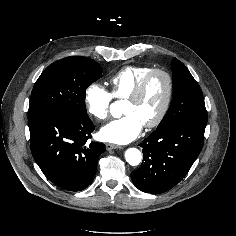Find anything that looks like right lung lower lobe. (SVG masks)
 Wrapping results in <instances>:
<instances>
[{"mask_svg":"<svg viewBox=\"0 0 236 236\" xmlns=\"http://www.w3.org/2000/svg\"><path fill=\"white\" fill-rule=\"evenodd\" d=\"M31 152L44 175L68 191H80L95 177L105 145L87 142L95 127L87 115L38 111L28 114Z\"/></svg>","mask_w":236,"mask_h":236,"instance_id":"right-lung-lower-lobe-1","label":"right lung lower lobe"}]
</instances>
